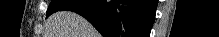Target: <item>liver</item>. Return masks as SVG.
<instances>
[{"label":"liver","instance_id":"obj_1","mask_svg":"<svg viewBox=\"0 0 219 37\" xmlns=\"http://www.w3.org/2000/svg\"><path fill=\"white\" fill-rule=\"evenodd\" d=\"M46 37H98L94 27L82 16L71 11H59L47 22Z\"/></svg>","mask_w":219,"mask_h":37}]
</instances>
